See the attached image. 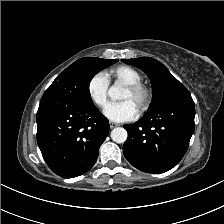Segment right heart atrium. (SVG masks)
Masks as SVG:
<instances>
[{"label": "right heart atrium", "mask_w": 224, "mask_h": 224, "mask_svg": "<svg viewBox=\"0 0 224 224\" xmlns=\"http://www.w3.org/2000/svg\"><path fill=\"white\" fill-rule=\"evenodd\" d=\"M109 80L107 76L98 72L88 81L87 92L90 100L99 108H103L108 99Z\"/></svg>", "instance_id": "1"}]
</instances>
